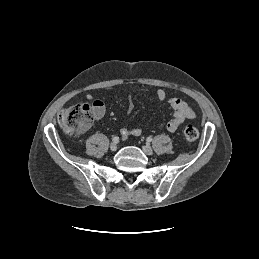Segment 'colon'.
<instances>
[{
    "mask_svg": "<svg viewBox=\"0 0 259 259\" xmlns=\"http://www.w3.org/2000/svg\"><path fill=\"white\" fill-rule=\"evenodd\" d=\"M94 104H76L63 109L58 117L61 128L67 134H78L84 132L92 124L95 117ZM183 138L186 141H195L199 136V131L193 124H187L183 129Z\"/></svg>",
    "mask_w": 259,
    "mask_h": 259,
    "instance_id": "5ec220e1",
    "label": "colon"
}]
</instances>
